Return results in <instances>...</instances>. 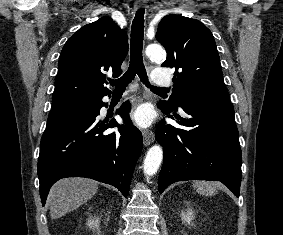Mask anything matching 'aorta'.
<instances>
[{
	"label": "aorta",
	"instance_id": "1",
	"mask_svg": "<svg viewBox=\"0 0 283 235\" xmlns=\"http://www.w3.org/2000/svg\"><path fill=\"white\" fill-rule=\"evenodd\" d=\"M146 55L155 61H164L166 58V53L162 46L158 44H151L146 48ZM163 158V150L160 145L152 146L145 157L143 170L144 174L147 177L153 176L162 162Z\"/></svg>",
	"mask_w": 283,
	"mask_h": 235
}]
</instances>
